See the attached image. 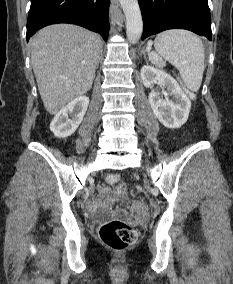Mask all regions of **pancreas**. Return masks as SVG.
<instances>
[{
  "instance_id": "1",
  "label": "pancreas",
  "mask_w": 233,
  "mask_h": 284,
  "mask_svg": "<svg viewBox=\"0 0 233 284\" xmlns=\"http://www.w3.org/2000/svg\"><path fill=\"white\" fill-rule=\"evenodd\" d=\"M155 63H157L159 66H163L164 65V62L160 58H158Z\"/></svg>"
}]
</instances>
